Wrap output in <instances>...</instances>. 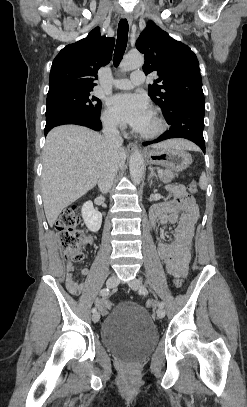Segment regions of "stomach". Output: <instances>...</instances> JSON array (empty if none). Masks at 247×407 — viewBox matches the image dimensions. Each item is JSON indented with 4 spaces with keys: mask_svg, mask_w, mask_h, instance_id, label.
Listing matches in <instances>:
<instances>
[{
    "mask_svg": "<svg viewBox=\"0 0 247 407\" xmlns=\"http://www.w3.org/2000/svg\"><path fill=\"white\" fill-rule=\"evenodd\" d=\"M146 159L150 165H159L176 172L187 169L192 163L190 153L170 146L149 149L146 151Z\"/></svg>",
    "mask_w": 247,
    "mask_h": 407,
    "instance_id": "0dacf381",
    "label": "stomach"
}]
</instances>
